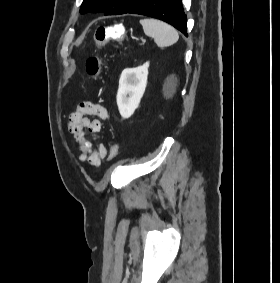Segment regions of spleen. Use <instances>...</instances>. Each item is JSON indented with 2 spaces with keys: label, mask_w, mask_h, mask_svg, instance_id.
<instances>
[{
  "label": "spleen",
  "mask_w": 280,
  "mask_h": 283,
  "mask_svg": "<svg viewBox=\"0 0 280 283\" xmlns=\"http://www.w3.org/2000/svg\"><path fill=\"white\" fill-rule=\"evenodd\" d=\"M140 23L144 33L152 37L160 48L171 46L179 39L177 30L165 22L156 19H142Z\"/></svg>",
  "instance_id": "spleen-1"
}]
</instances>
